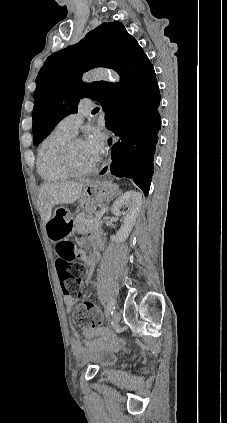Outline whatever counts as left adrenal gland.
Listing matches in <instances>:
<instances>
[{
    "instance_id": "1",
    "label": "left adrenal gland",
    "mask_w": 227,
    "mask_h": 423,
    "mask_svg": "<svg viewBox=\"0 0 227 423\" xmlns=\"http://www.w3.org/2000/svg\"><path fill=\"white\" fill-rule=\"evenodd\" d=\"M106 208H107V210H106V211H108V210H109L108 206H106Z\"/></svg>"
}]
</instances>
